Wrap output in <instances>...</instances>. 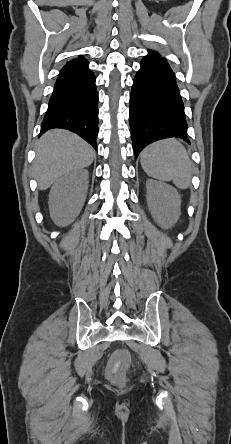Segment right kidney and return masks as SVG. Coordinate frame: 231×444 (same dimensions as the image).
<instances>
[{"label": "right kidney", "instance_id": "right-kidney-1", "mask_svg": "<svg viewBox=\"0 0 231 444\" xmlns=\"http://www.w3.org/2000/svg\"><path fill=\"white\" fill-rule=\"evenodd\" d=\"M88 171L78 170L58 179L49 194V210L59 226L72 223L79 215L88 190Z\"/></svg>", "mask_w": 231, "mask_h": 444}]
</instances>
